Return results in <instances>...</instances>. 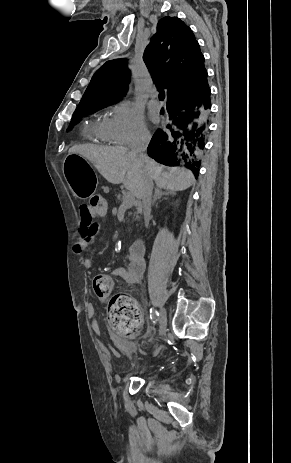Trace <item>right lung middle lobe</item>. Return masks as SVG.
<instances>
[{"label":"right lung middle lobe","instance_id":"1","mask_svg":"<svg viewBox=\"0 0 291 463\" xmlns=\"http://www.w3.org/2000/svg\"><path fill=\"white\" fill-rule=\"evenodd\" d=\"M113 103H110V104H104V105H97V106H82V107H78L76 108L73 116H72V119H71V122H70V125H74L76 124L77 122H79V120L85 116L86 114H89V113H92V112H95L99 109H102L104 107H107L109 105H112ZM71 127H69L70 129Z\"/></svg>","mask_w":291,"mask_h":463}]
</instances>
